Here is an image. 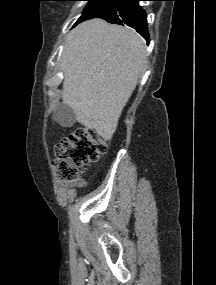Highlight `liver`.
I'll return each instance as SVG.
<instances>
[{
    "instance_id": "obj_1",
    "label": "liver",
    "mask_w": 216,
    "mask_h": 285,
    "mask_svg": "<svg viewBox=\"0 0 216 285\" xmlns=\"http://www.w3.org/2000/svg\"><path fill=\"white\" fill-rule=\"evenodd\" d=\"M145 67V43L134 30L101 19L83 22L62 52L63 102L80 124L108 141Z\"/></svg>"
}]
</instances>
